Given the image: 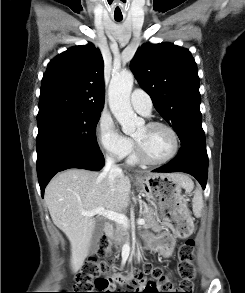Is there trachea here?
<instances>
[{
    "label": "trachea",
    "instance_id": "1",
    "mask_svg": "<svg viewBox=\"0 0 245 293\" xmlns=\"http://www.w3.org/2000/svg\"><path fill=\"white\" fill-rule=\"evenodd\" d=\"M116 21H121L122 19H115Z\"/></svg>",
    "mask_w": 245,
    "mask_h": 293
}]
</instances>
